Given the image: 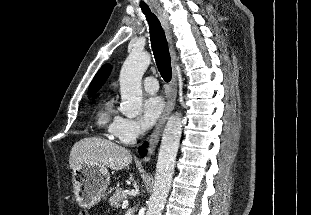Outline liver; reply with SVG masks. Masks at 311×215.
I'll return each instance as SVG.
<instances>
[{"mask_svg":"<svg viewBox=\"0 0 311 215\" xmlns=\"http://www.w3.org/2000/svg\"><path fill=\"white\" fill-rule=\"evenodd\" d=\"M131 162L132 156L129 150L98 137H88L76 142L69 156V166L72 170L86 163L118 171L127 167Z\"/></svg>","mask_w":311,"mask_h":215,"instance_id":"6515ba94","label":"liver"}]
</instances>
